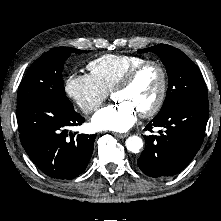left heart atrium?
<instances>
[{
	"mask_svg": "<svg viewBox=\"0 0 221 221\" xmlns=\"http://www.w3.org/2000/svg\"><path fill=\"white\" fill-rule=\"evenodd\" d=\"M137 120V112L126 102H116L97 111L91 123L97 130L124 132Z\"/></svg>",
	"mask_w": 221,
	"mask_h": 221,
	"instance_id": "39dd6f15",
	"label": "left heart atrium"
}]
</instances>
